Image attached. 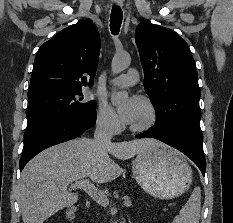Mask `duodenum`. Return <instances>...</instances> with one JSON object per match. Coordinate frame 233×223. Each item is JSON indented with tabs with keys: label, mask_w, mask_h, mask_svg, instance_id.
Segmentation results:
<instances>
[{
	"label": "duodenum",
	"mask_w": 233,
	"mask_h": 223,
	"mask_svg": "<svg viewBox=\"0 0 233 223\" xmlns=\"http://www.w3.org/2000/svg\"><path fill=\"white\" fill-rule=\"evenodd\" d=\"M66 217L70 221H73L76 218V208L74 206H70L67 208Z\"/></svg>",
	"instance_id": "1"
}]
</instances>
